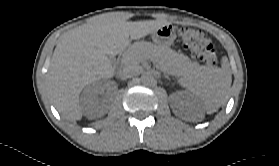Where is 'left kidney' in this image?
<instances>
[{
    "mask_svg": "<svg viewBox=\"0 0 279 166\" xmlns=\"http://www.w3.org/2000/svg\"><path fill=\"white\" fill-rule=\"evenodd\" d=\"M174 96L177 99V107L179 110L186 108H198V100L192 94L188 92H178Z\"/></svg>",
    "mask_w": 279,
    "mask_h": 166,
    "instance_id": "1",
    "label": "left kidney"
}]
</instances>
